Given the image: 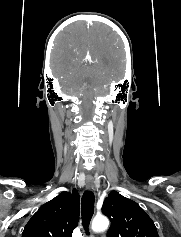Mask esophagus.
<instances>
[{"mask_svg":"<svg viewBox=\"0 0 181 237\" xmlns=\"http://www.w3.org/2000/svg\"><path fill=\"white\" fill-rule=\"evenodd\" d=\"M86 187H87V189H89V190H94V188H95V182H94V180L91 179V178L87 179V180H86Z\"/></svg>","mask_w":181,"mask_h":237,"instance_id":"esophagus-1","label":"esophagus"}]
</instances>
